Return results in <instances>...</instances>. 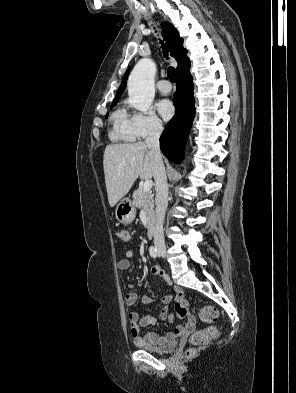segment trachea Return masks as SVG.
Here are the masks:
<instances>
[{
  "label": "trachea",
  "mask_w": 296,
  "mask_h": 393,
  "mask_svg": "<svg viewBox=\"0 0 296 393\" xmlns=\"http://www.w3.org/2000/svg\"><path fill=\"white\" fill-rule=\"evenodd\" d=\"M163 52H164V56L167 58L168 54L166 53V50L164 49ZM167 76H168V78H169V80L171 82H176V70H175V68L169 67L168 71H167Z\"/></svg>",
  "instance_id": "1"
}]
</instances>
